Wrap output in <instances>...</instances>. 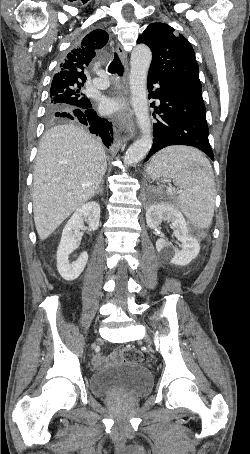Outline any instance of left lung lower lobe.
Returning <instances> with one entry per match:
<instances>
[{
	"label": "left lung lower lobe",
	"instance_id": "1",
	"mask_svg": "<svg viewBox=\"0 0 250 454\" xmlns=\"http://www.w3.org/2000/svg\"><path fill=\"white\" fill-rule=\"evenodd\" d=\"M154 84L159 87L152 91ZM149 98L160 100L155 107L154 143L146 161L157 151L171 145L196 147L214 160L208 140V126L202 88L164 82L156 77L147 79ZM155 102L151 104L154 107Z\"/></svg>",
	"mask_w": 250,
	"mask_h": 454
}]
</instances>
